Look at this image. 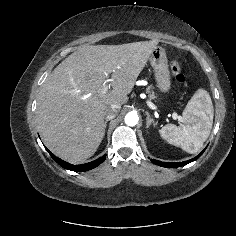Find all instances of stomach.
Returning a JSON list of instances; mask_svg holds the SVG:
<instances>
[{"label":"stomach","mask_w":236,"mask_h":236,"mask_svg":"<svg viewBox=\"0 0 236 236\" xmlns=\"http://www.w3.org/2000/svg\"><path fill=\"white\" fill-rule=\"evenodd\" d=\"M149 61L154 70L157 88L163 93L169 92L171 88V76L165 49L156 46L149 57Z\"/></svg>","instance_id":"0dacf381"}]
</instances>
